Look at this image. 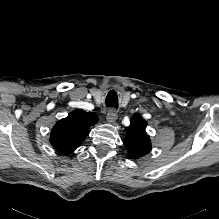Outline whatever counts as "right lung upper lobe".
Wrapping results in <instances>:
<instances>
[{"mask_svg": "<svg viewBox=\"0 0 219 219\" xmlns=\"http://www.w3.org/2000/svg\"><path fill=\"white\" fill-rule=\"evenodd\" d=\"M97 121L98 117L92 112L74 110L55 124L50 143L59 153L69 155L80 146L89 134L88 129Z\"/></svg>", "mask_w": 219, "mask_h": 219, "instance_id": "obj_1", "label": "right lung upper lobe"}]
</instances>
